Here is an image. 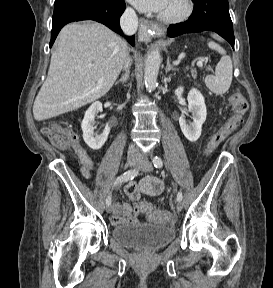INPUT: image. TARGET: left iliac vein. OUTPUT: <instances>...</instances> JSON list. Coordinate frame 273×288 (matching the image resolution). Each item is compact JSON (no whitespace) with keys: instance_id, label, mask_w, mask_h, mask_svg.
<instances>
[{"instance_id":"left-iliac-vein-1","label":"left iliac vein","mask_w":273,"mask_h":288,"mask_svg":"<svg viewBox=\"0 0 273 288\" xmlns=\"http://www.w3.org/2000/svg\"><path fill=\"white\" fill-rule=\"evenodd\" d=\"M137 166L140 167L142 169V171H144V172H149L153 169L151 162H149L147 159H144V158L139 160ZM182 208H183L182 203L180 201H178L176 203V210L181 211Z\"/></svg>"}]
</instances>
